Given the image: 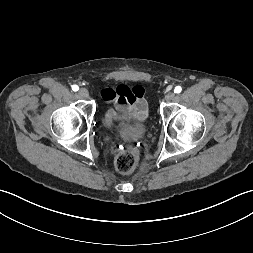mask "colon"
<instances>
[{"mask_svg": "<svg viewBox=\"0 0 253 253\" xmlns=\"http://www.w3.org/2000/svg\"><path fill=\"white\" fill-rule=\"evenodd\" d=\"M137 156L131 148L122 149L116 156L115 167L121 174H130L137 167Z\"/></svg>", "mask_w": 253, "mask_h": 253, "instance_id": "1", "label": "colon"}]
</instances>
